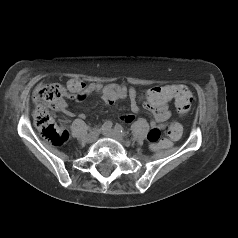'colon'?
<instances>
[{
	"label": "colon",
	"instance_id": "colon-1",
	"mask_svg": "<svg viewBox=\"0 0 238 238\" xmlns=\"http://www.w3.org/2000/svg\"><path fill=\"white\" fill-rule=\"evenodd\" d=\"M166 96H172L175 99L176 107L179 112L186 113L192 104V95L184 85H175V87L165 92ZM65 96L64 88L58 83L39 84L33 93L35 109L33 119L36 127L42 136L54 145H62L68 139V133L62 127L57 125L50 113V108L58 106ZM181 126L178 123H171L165 133L167 138L161 139V129L152 128L147 139L152 144H160L155 148L168 147L171 141L177 140L181 135Z\"/></svg>",
	"mask_w": 238,
	"mask_h": 238
}]
</instances>
